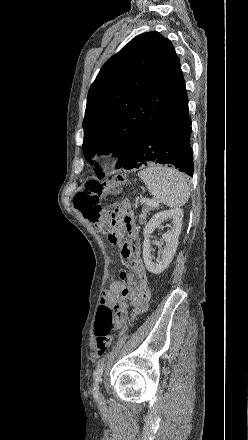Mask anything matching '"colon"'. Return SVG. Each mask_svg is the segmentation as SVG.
<instances>
[{"mask_svg": "<svg viewBox=\"0 0 248 440\" xmlns=\"http://www.w3.org/2000/svg\"><path fill=\"white\" fill-rule=\"evenodd\" d=\"M103 184L96 180L87 182L83 191L74 198V206L91 223L95 224L99 230L107 235L111 244L117 245L120 238L114 231L111 223V211L107 215L103 213L99 204V197L103 192ZM114 315L109 306L100 304L97 311L94 332L97 338V352L99 355L105 354L112 344V328Z\"/></svg>", "mask_w": 248, "mask_h": 440, "instance_id": "obj_1", "label": "colon"}]
</instances>
